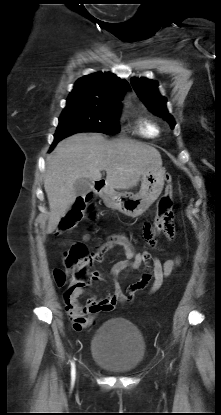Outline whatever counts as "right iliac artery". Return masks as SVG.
<instances>
[{"label":"right iliac artery","instance_id":"right-iliac-artery-1","mask_svg":"<svg viewBox=\"0 0 221 415\" xmlns=\"http://www.w3.org/2000/svg\"><path fill=\"white\" fill-rule=\"evenodd\" d=\"M71 377H72V380L75 379V364L74 363L71 364Z\"/></svg>","mask_w":221,"mask_h":415}]
</instances>
